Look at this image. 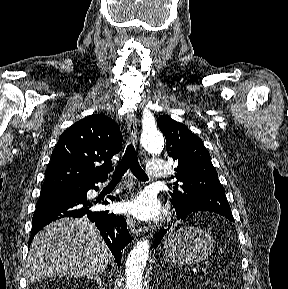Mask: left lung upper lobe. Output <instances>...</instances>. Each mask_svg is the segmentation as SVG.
I'll use <instances>...</instances> for the list:
<instances>
[{
    "instance_id": "obj_1",
    "label": "left lung upper lobe",
    "mask_w": 288,
    "mask_h": 289,
    "mask_svg": "<svg viewBox=\"0 0 288 289\" xmlns=\"http://www.w3.org/2000/svg\"><path fill=\"white\" fill-rule=\"evenodd\" d=\"M157 124L165 136L168 155L177 165V173L172 176L177 181L169 192L174 208L189 213L211 211L234 221L225 190L202 140L167 115L160 116Z\"/></svg>"
}]
</instances>
